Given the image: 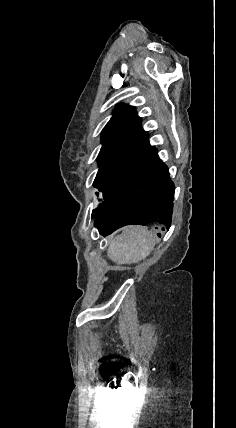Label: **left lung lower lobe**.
Instances as JSON below:
<instances>
[{
	"label": "left lung lower lobe",
	"mask_w": 236,
	"mask_h": 428,
	"mask_svg": "<svg viewBox=\"0 0 236 428\" xmlns=\"http://www.w3.org/2000/svg\"><path fill=\"white\" fill-rule=\"evenodd\" d=\"M93 211L95 227L103 236L130 224L171 226L174 184L157 151L145 142L134 162ZM162 230H165L162 228Z\"/></svg>",
	"instance_id": "left-lung-lower-lobe-1"
}]
</instances>
